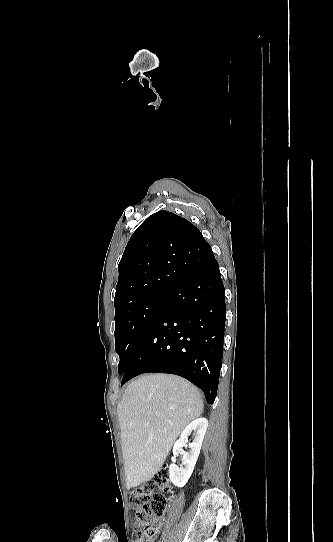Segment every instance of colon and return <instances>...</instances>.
Returning a JSON list of instances; mask_svg holds the SVG:
<instances>
[{
  "label": "colon",
  "instance_id": "5ec220e1",
  "mask_svg": "<svg viewBox=\"0 0 333 542\" xmlns=\"http://www.w3.org/2000/svg\"><path fill=\"white\" fill-rule=\"evenodd\" d=\"M170 472L166 466L158 469L153 479L146 480L130 495V506L137 515H132L130 522L135 529H130V540H142L155 536L160 528V520L165 511L167 498L164 493L170 491ZM159 488L163 494H155Z\"/></svg>",
  "mask_w": 333,
  "mask_h": 542
}]
</instances>
